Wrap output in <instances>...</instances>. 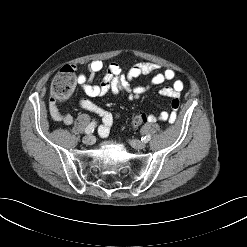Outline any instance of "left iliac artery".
<instances>
[{"label": "left iliac artery", "instance_id": "1", "mask_svg": "<svg viewBox=\"0 0 247 247\" xmlns=\"http://www.w3.org/2000/svg\"><path fill=\"white\" fill-rule=\"evenodd\" d=\"M150 139H151V136L150 135H147V136L143 137L141 140L143 142L147 143Z\"/></svg>", "mask_w": 247, "mask_h": 247}]
</instances>
